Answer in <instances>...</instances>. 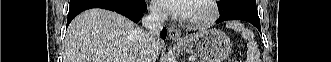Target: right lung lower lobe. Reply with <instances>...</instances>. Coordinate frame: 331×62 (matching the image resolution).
Returning <instances> with one entry per match:
<instances>
[{
    "label": "right lung lower lobe",
    "mask_w": 331,
    "mask_h": 62,
    "mask_svg": "<svg viewBox=\"0 0 331 62\" xmlns=\"http://www.w3.org/2000/svg\"><path fill=\"white\" fill-rule=\"evenodd\" d=\"M91 8H102L111 11H115L135 23H138L146 10V3L144 0H138L137 3L127 4L120 2L119 0H75L70 2L67 26L72 19L79 13L91 9ZM166 28L161 32V38H166Z\"/></svg>",
    "instance_id": "obj_1"
}]
</instances>
